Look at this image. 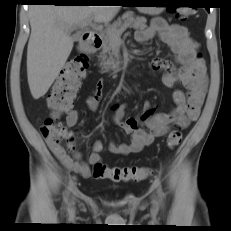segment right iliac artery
Here are the masks:
<instances>
[{
    "label": "right iliac artery",
    "instance_id": "right-iliac-artery-1",
    "mask_svg": "<svg viewBox=\"0 0 231 231\" xmlns=\"http://www.w3.org/2000/svg\"><path fill=\"white\" fill-rule=\"evenodd\" d=\"M71 186H72V185H70V187H69V189H68V191H67V195H69V193H70V188H71ZM65 201H67V198L65 199Z\"/></svg>",
    "mask_w": 231,
    "mask_h": 231
}]
</instances>
